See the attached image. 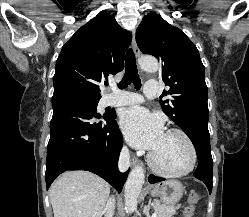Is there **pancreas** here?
I'll list each match as a JSON object with an SVG mask.
<instances>
[{"instance_id":"obj_1","label":"pancreas","mask_w":249,"mask_h":217,"mask_svg":"<svg viewBox=\"0 0 249 217\" xmlns=\"http://www.w3.org/2000/svg\"><path fill=\"white\" fill-rule=\"evenodd\" d=\"M152 206L157 217H172L176 214V210L180 208V205H166L160 201H154Z\"/></svg>"}]
</instances>
